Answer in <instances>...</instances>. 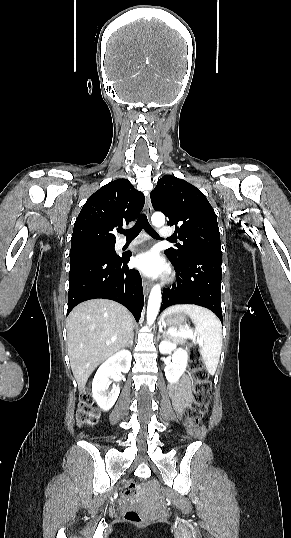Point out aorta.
Returning a JSON list of instances; mask_svg holds the SVG:
<instances>
[{
  "label": "aorta",
  "mask_w": 291,
  "mask_h": 538,
  "mask_svg": "<svg viewBox=\"0 0 291 538\" xmlns=\"http://www.w3.org/2000/svg\"><path fill=\"white\" fill-rule=\"evenodd\" d=\"M153 225L160 227L165 223V216L162 213H154L151 217ZM161 304V288L159 285H155L149 295L148 307H147V323L151 326L159 312Z\"/></svg>",
  "instance_id": "aorta-1"
}]
</instances>
